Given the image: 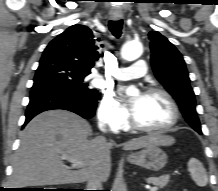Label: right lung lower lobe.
Returning <instances> with one entry per match:
<instances>
[{"label":"right lung lower lobe","instance_id":"right-lung-lower-lobe-1","mask_svg":"<svg viewBox=\"0 0 218 191\" xmlns=\"http://www.w3.org/2000/svg\"><path fill=\"white\" fill-rule=\"evenodd\" d=\"M98 98V96L87 97L75 93L57 83H34L30 93V102L27 106L24 125L37 114L53 109L68 110L89 119L95 114Z\"/></svg>","mask_w":218,"mask_h":191}]
</instances>
